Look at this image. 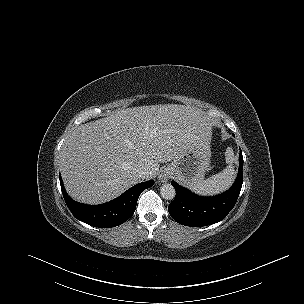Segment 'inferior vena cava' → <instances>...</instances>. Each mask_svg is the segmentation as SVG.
<instances>
[{"instance_id": "obj_1", "label": "inferior vena cava", "mask_w": 304, "mask_h": 304, "mask_svg": "<svg viewBox=\"0 0 304 304\" xmlns=\"http://www.w3.org/2000/svg\"><path fill=\"white\" fill-rule=\"evenodd\" d=\"M135 174L137 175V177L140 180H145V179L149 178V172L146 169L141 168V167H139L135 170Z\"/></svg>"}]
</instances>
